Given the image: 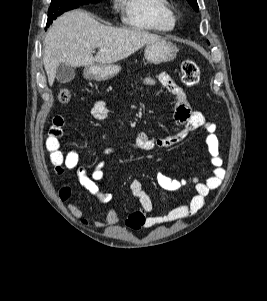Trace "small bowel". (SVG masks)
<instances>
[{
  "mask_svg": "<svg viewBox=\"0 0 267 301\" xmlns=\"http://www.w3.org/2000/svg\"><path fill=\"white\" fill-rule=\"evenodd\" d=\"M143 84L147 86L159 84L173 95L175 100L174 119L176 125L179 127V131L175 135L166 138H155L146 133H140L131 147L142 151L168 148L185 139L190 132L204 128L206 132L205 142L211 156L212 171L211 175L204 181H200L197 177L174 178L163 171H159L156 175V180L160 188L167 191H176L185 186L192 185L195 191L193 197L188 202L173 208L164 215H150L154 209L150 196L145 192L143 184L139 179L132 180L130 190L138 199L140 207L130 214L126 220V225L131 229L150 228L159 224L176 222L194 215L202 208L208 194L220 186L225 176L223 159L220 155L219 140L216 135V125L206 119L201 112L191 108L184 89L167 73H160L155 77L147 76L143 79ZM91 113L95 119L105 120L108 117L106 103L103 100H97L93 105ZM63 125L62 116L56 115L53 118L45 142L50 160L55 167V173L62 175L65 170H75L78 182L83 188L97 197L100 202L105 204L110 203L112 201V194L103 191L100 187V182L104 177V162L99 161L94 170L88 173L86 168L79 164V155L76 151L63 152L60 149ZM114 151V148H106L104 150L105 154H111ZM71 195L72 189L69 185L62 186L58 191V197L62 202L69 201ZM68 209L75 218L79 219L84 225H88V220L83 217L82 210L76 204L70 202ZM119 221L120 215L118 211L115 208H111L106 218L97 220L96 225L99 227H109L118 224Z\"/></svg>",
  "mask_w": 267,
  "mask_h": 301,
  "instance_id": "small-bowel-1",
  "label": "small bowel"
}]
</instances>
